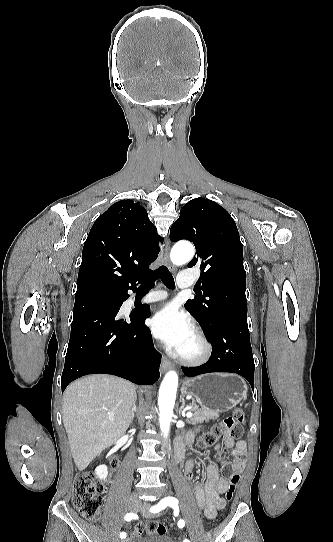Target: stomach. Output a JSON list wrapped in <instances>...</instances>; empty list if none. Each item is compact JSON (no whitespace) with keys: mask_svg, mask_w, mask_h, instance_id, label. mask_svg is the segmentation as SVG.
<instances>
[{"mask_svg":"<svg viewBox=\"0 0 333 542\" xmlns=\"http://www.w3.org/2000/svg\"><path fill=\"white\" fill-rule=\"evenodd\" d=\"M241 382L243 380L236 374H203L184 380L181 392L186 396H193L205 410L228 412L246 396Z\"/></svg>","mask_w":333,"mask_h":542,"instance_id":"obj_1","label":"stomach"}]
</instances>
